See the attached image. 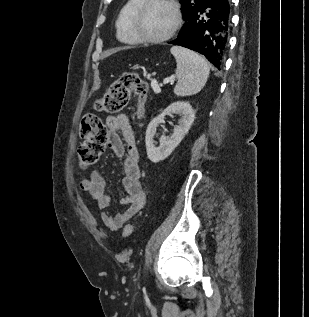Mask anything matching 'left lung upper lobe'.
Segmentation results:
<instances>
[{
  "mask_svg": "<svg viewBox=\"0 0 309 317\" xmlns=\"http://www.w3.org/2000/svg\"><path fill=\"white\" fill-rule=\"evenodd\" d=\"M204 0H180L183 17L190 13L192 9L198 7Z\"/></svg>",
  "mask_w": 309,
  "mask_h": 317,
  "instance_id": "left-lung-upper-lobe-1",
  "label": "left lung upper lobe"
}]
</instances>
